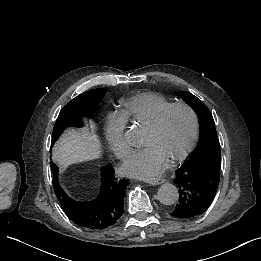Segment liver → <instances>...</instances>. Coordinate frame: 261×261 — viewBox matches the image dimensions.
<instances>
[{
  "mask_svg": "<svg viewBox=\"0 0 261 261\" xmlns=\"http://www.w3.org/2000/svg\"><path fill=\"white\" fill-rule=\"evenodd\" d=\"M92 131L96 125L90 121ZM101 153V143L95 133H90L86 128L76 131H66L53 149V159L63 160L79 156L87 159L97 158Z\"/></svg>",
  "mask_w": 261,
  "mask_h": 261,
  "instance_id": "6515ba94",
  "label": "liver"
}]
</instances>
